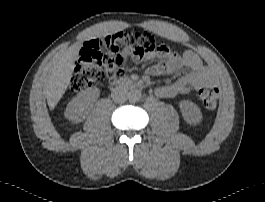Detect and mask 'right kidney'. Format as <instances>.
Instances as JSON below:
<instances>
[{
  "label": "right kidney",
  "mask_w": 265,
  "mask_h": 202,
  "mask_svg": "<svg viewBox=\"0 0 265 202\" xmlns=\"http://www.w3.org/2000/svg\"><path fill=\"white\" fill-rule=\"evenodd\" d=\"M99 96L100 90L98 88H89L81 91L67 105L65 117L74 123L82 122L86 117L87 111Z\"/></svg>",
  "instance_id": "obj_1"
}]
</instances>
